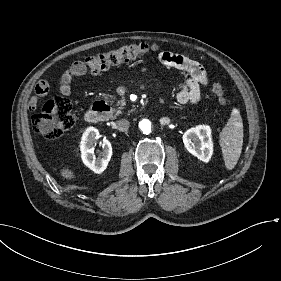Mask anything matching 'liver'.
<instances>
[{
	"label": "liver",
	"instance_id": "1",
	"mask_svg": "<svg viewBox=\"0 0 281 281\" xmlns=\"http://www.w3.org/2000/svg\"><path fill=\"white\" fill-rule=\"evenodd\" d=\"M61 175L67 179H72L74 178V174L72 171L68 170V169H62L61 170Z\"/></svg>",
	"mask_w": 281,
	"mask_h": 281
}]
</instances>
